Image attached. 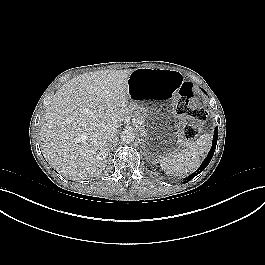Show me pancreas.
I'll use <instances>...</instances> for the list:
<instances>
[{
  "label": "pancreas",
  "instance_id": "pancreas-1",
  "mask_svg": "<svg viewBox=\"0 0 265 265\" xmlns=\"http://www.w3.org/2000/svg\"><path fill=\"white\" fill-rule=\"evenodd\" d=\"M136 115H137V120L140 121L141 120V117H140L139 113H137ZM136 123H138V122H136Z\"/></svg>",
  "mask_w": 265,
  "mask_h": 265
}]
</instances>
